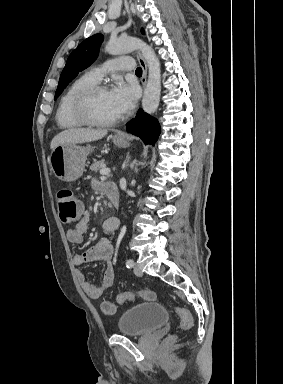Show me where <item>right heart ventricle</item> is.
Segmentation results:
<instances>
[{"label":"right heart ventricle","instance_id":"e07e8e85","mask_svg":"<svg viewBox=\"0 0 283 384\" xmlns=\"http://www.w3.org/2000/svg\"><path fill=\"white\" fill-rule=\"evenodd\" d=\"M96 84L92 82L86 75L73 81L69 87L61 95L56 112L55 119L58 127L62 130H75L80 127L71 116V106L76 96L85 88Z\"/></svg>","mask_w":283,"mask_h":384}]
</instances>
